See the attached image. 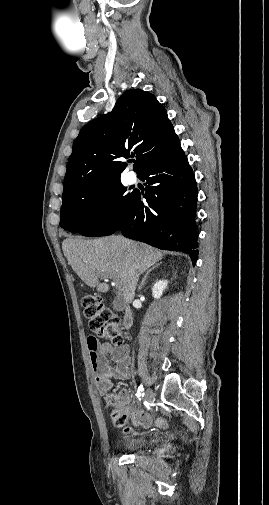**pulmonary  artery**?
<instances>
[{"instance_id":"pulmonary-artery-1","label":"pulmonary artery","mask_w":269,"mask_h":505,"mask_svg":"<svg viewBox=\"0 0 269 505\" xmlns=\"http://www.w3.org/2000/svg\"><path fill=\"white\" fill-rule=\"evenodd\" d=\"M126 179H127L128 183H130V184H134L137 181V178H136V175L134 172H128L126 175Z\"/></svg>"}]
</instances>
